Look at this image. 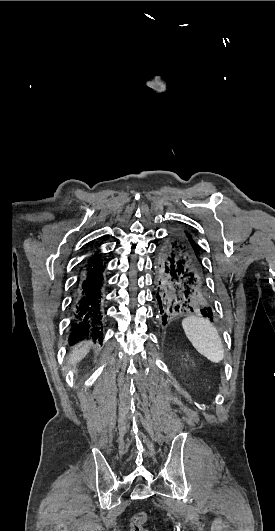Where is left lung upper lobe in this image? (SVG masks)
Here are the masks:
<instances>
[{"label":"left lung upper lobe","mask_w":275,"mask_h":531,"mask_svg":"<svg viewBox=\"0 0 275 531\" xmlns=\"http://www.w3.org/2000/svg\"><path fill=\"white\" fill-rule=\"evenodd\" d=\"M185 235L188 238V240L190 241V243H191V245L193 247V250L195 251V254H196L197 258L199 259L198 252H197V246H196L194 240L192 239L191 235L188 232H186V231H185Z\"/></svg>","instance_id":"obj_1"}]
</instances>
